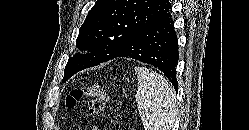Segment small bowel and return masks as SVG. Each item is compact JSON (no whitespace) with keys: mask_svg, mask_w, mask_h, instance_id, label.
Here are the masks:
<instances>
[{"mask_svg":"<svg viewBox=\"0 0 249 130\" xmlns=\"http://www.w3.org/2000/svg\"><path fill=\"white\" fill-rule=\"evenodd\" d=\"M93 130H98L97 128H94Z\"/></svg>","mask_w":249,"mask_h":130,"instance_id":"c3829d8e","label":"small bowel"}]
</instances>
